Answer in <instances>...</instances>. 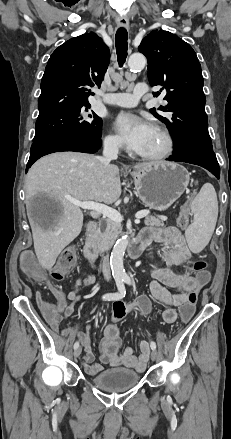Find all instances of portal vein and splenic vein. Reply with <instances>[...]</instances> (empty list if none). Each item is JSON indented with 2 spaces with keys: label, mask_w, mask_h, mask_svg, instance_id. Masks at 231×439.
<instances>
[{
  "label": "portal vein and splenic vein",
  "mask_w": 231,
  "mask_h": 439,
  "mask_svg": "<svg viewBox=\"0 0 231 439\" xmlns=\"http://www.w3.org/2000/svg\"><path fill=\"white\" fill-rule=\"evenodd\" d=\"M72 204L79 206L80 208L84 209V210H91L96 214H102L103 216L111 219L114 222H122L123 221V217L121 216V214L113 209L110 208L107 205L98 203V202H94V201H79V200H75V199H70L69 200ZM149 210H142L140 212H138L135 217L136 219H142L144 217H146L149 214Z\"/></svg>",
  "instance_id": "obj_1"
}]
</instances>
